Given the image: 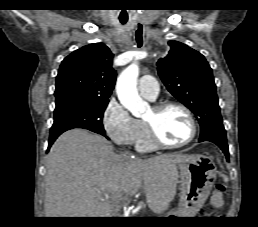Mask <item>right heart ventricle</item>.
I'll return each instance as SVG.
<instances>
[{
	"label": "right heart ventricle",
	"mask_w": 258,
	"mask_h": 227,
	"mask_svg": "<svg viewBox=\"0 0 258 227\" xmlns=\"http://www.w3.org/2000/svg\"><path fill=\"white\" fill-rule=\"evenodd\" d=\"M142 124V131L138 138V140L135 143L136 149L140 152H149L155 149V145L152 143L147 128L143 122Z\"/></svg>",
	"instance_id": "right-heart-ventricle-1"
}]
</instances>
